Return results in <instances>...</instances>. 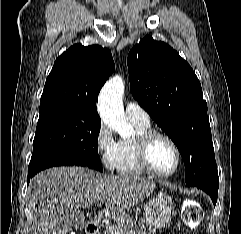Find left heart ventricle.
Segmentation results:
<instances>
[{"instance_id": "b2bd125f", "label": "left heart ventricle", "mask_w": 241, "mask_h": 234, "mask_svg": "<svg viewBox=\"0 0 241 234\" xmlns=\"http://www.w3.org/2000/svg\"><path fill=\"white\" fill-rule=\"evenodd\" d=\"M149 155L151 164L160 172H169L176 164L174 148L163 138H157L153 141Z\"/></svg>"}]
</instances>
